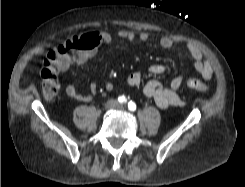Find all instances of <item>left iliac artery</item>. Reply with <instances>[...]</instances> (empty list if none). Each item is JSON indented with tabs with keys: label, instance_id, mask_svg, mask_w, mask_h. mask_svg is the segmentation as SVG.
Masks as SVG:
<instances>
[{
	"label": "left iliac artery",
	"instance_id": "1",
	"mask_svg": "<svg viewBox=\"0 0 245 187\" xmlns=\"http://www.w3.org/2000/svg\"><path fill=\"white\" fill-rule=\"evenodd\" d=\"M128 109H129L130 111H135V110H136V104H135L134 102L130 101V102L128 103Z\"/></svg>",
	"mask_w": 245,
	"mask_h": 187
}]
</instances>
